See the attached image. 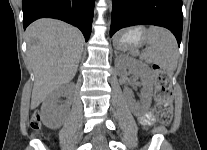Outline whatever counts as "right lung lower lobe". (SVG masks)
Masks as SVG:
<instances>
[{"instance_id":"right-lung-lower-lobe-1","label":"right lung lower lobe","mask_w":207,"mask_h":150,"mask_svg":"<svg viewBox=\"0 0 207 150\" xmlns=\"http://www.w3.org/2000/svg\"><path fill=\"white\" fill-rule=\"evenodd\" d=\"M95 0H23L24 29L36 19L48 17L78 27L86 41L91 33Z\"/></svg>"}]
</instances>
